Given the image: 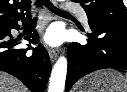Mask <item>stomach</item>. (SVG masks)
<instances>
[{
	"instance_id": "0dacf381",
	"label": "stomach",
	"mask_w": 127,
	"mask_h": 92,
	"mask_svg": "<svg viewBox=\"0 0 127 92\" xmlns=\"http://www.w3.org/2000/svg\"><path fill=\"white\" fill-rule=\"evenodd\" d=\"M127 79L115 70L98 71L82 81L78 92H124Z\"/></svg>"
}]
</instances>
